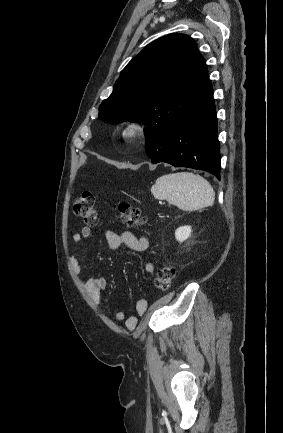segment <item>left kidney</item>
Returning a JSON list of instances; mask_svg holds the SVG:
<instances>
[{"mask_svg":"<svg viewBox=\"0 0 283 433\" xmlns=\"http://www.w3.org/2000/svg\"><path fill=\"white\" fill-rule=\"evenodd\" d=\"M191 226H182L179 227L176 231H175V238L176 240H178L180 243L185 241L186 239H188L191 236Z\"/></svg>","mask_w":283,"mask_h":433,"instance_id":"obj_1","label":"left kidney"}]
</instances>
